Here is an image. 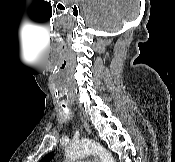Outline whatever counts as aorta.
I'll list each match as a JSON object with an SVG mask.
<instances>
[{"label": "aorta", "mask_w": 175, "mask_h": 162, "mask_svg": "<svg viewBox=\"0 0 175 162\" xmlns=\"http://www.w3.org/2000/svg\"><path fill=\"white\" fill-rule=\"evenodd\" d=\"M65 154L70 160H77L91 154H97L100 157L101 162H115L111 153L99 143L91 140H82L71 143L67 146Z\"/></svg>", "instance_id": "762f6f07"}]
</instances>
